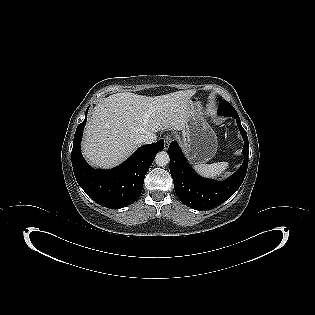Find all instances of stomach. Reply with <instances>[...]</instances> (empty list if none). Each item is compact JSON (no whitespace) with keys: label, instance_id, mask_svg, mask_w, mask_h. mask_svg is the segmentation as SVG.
Wrapping results in <instances>:
<instances>
[{"label":"stomach","instance_id":"0dacf381","mask_svg":"<svg viewBox=\"0 0 315 315\" xmlns=\"http://www.w3.org/2000/svg\"><path fill=\"white\" fill-rule=\"evenodd\" d=\"M190 116L182 131L181 144L188 159L193 163L210 160L217 151V136L204 117L200 100L191 98Z\"/></svg>","mask_w":315,"mask_h":315}]
</instances>
